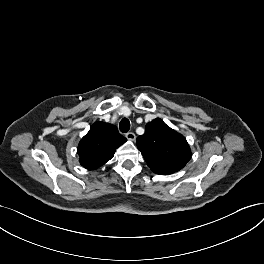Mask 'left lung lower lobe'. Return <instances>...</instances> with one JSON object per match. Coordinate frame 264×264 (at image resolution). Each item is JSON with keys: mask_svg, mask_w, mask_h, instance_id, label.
I'll return each mask as SVG.
<instances>
[{"mask_svg": "<svg viewBox=\"0 0 264 264\" xmlns=\"http://www.w3.org/2000/svg\"><path fill=\"white\" fill-rule=\"evenodd\" d=\"M169 174H171V173H166V174H161V175H169Z\"/></svg>", "mask_w": 264, "mask_h": 264, "instance_id": "obj_1", "label": "left lung lower lobe"}]
</instances>
